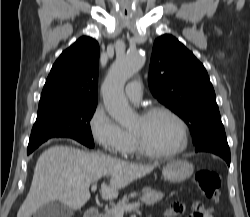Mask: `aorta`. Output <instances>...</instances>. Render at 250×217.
I'll list each match as a JSON object with an SVG mask.
<instances>
[{"label": "aorta", "instance_id": "762f6f07", "mask_svg": "<svg viewBox=\"0 0 250 217\" xmlns=\"http://www.w3.org/2000/svg\"><path fill=\"white\" fill-rule=\"evenodd\" d=\"M144 61V56L138 51L117 56L102 84L104 106L109 115L123 126L130 125L135 119L126 100L124 86L142 68Z\"/></svg>", "mask_w": 250, "mask_h": 217}]
</instances>
